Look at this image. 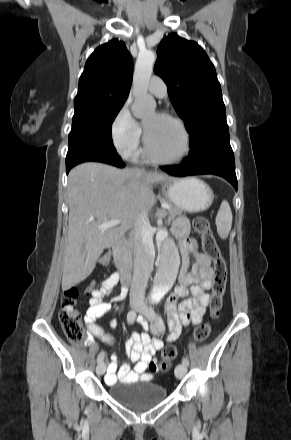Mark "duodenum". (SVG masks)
I'll use <instances>...</instances> for the list:
<instances>
[{
  "label": "duodenum",
  "mask_w": 291,
  "mask_h": 440,
  "mask_svg": "<svg viewBox=\"0 0 291 440\" xmlns=\"http://www.w3.org/2000/svg\"><path fill=\"white\" fill-rule=\"evenodd\" d=\"M123 238L117 237L112 244L114 262L121 273L122 282L128 285L130 281V266L126 255L122 250Z\"/></svg>",
  "instance_id": "410a0bca"
}]
</instances>
